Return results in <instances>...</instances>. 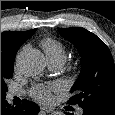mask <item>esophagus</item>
Listing matches in <instances>:
<instances>
[{
    "instance_id": "obj_1",
    "label": "esophagus",
    "mask_w": 115,
    "mask_h": 115,
    "mask_svg": "<svg viewBox=\"0 0 115 115\" xmlns=\"http://www.w3.org/2000/svg\"><path fill=\"white\" fill-rule=\"evenodd\" d=\"M40 110H41L42 112H45V113H52V112H53L52 108L44 107V106H41V107H40Z\"/></svg>"
}]
</instances>
